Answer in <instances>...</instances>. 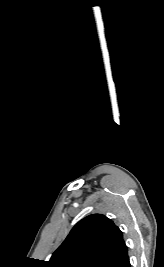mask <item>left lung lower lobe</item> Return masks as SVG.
Returning <instances> with one entry per match:
<instances>
[{
  "label": "left lung lower lobe",
  "instance_id": "obj_1",
  "mask_svg": "<svg viewBox=\"0 0 164 267\" xmlns=\"http://www.w3.org/2000/svg\"><path fill=\"white\" fill-rule=\"evenodd\" d=\"M104 267H131L125 242L111 256Z\"/></svg>",
  "mask_w": 164,
  "mask_h": 267
}]
</instances>
